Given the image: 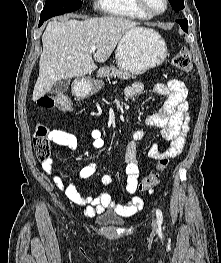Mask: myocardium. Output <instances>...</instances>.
I'll return each instance as SVG.
<instances>
[{"instance_id": "f54148a6", "label": "myocardium", "mask_w": 221, "mask_h": 263, "mask_svg": "<svg viewBox=\"0 0 221 263\" xmlns=\"http://www.w3.org/2000/svg\"><path fill=\"white\" fill-rule=\"evenodd\" d=\"M138 7L143 11L148 17H156L164 14L169 7V0H164V8L161 11H151L146 3V0H135Z\"/></svg>"}]
</instances>
